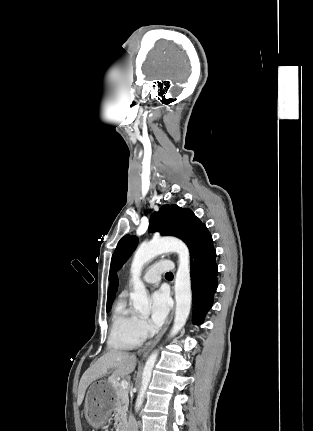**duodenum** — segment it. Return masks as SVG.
Here are the masks:
<instances>
[{"label": "duodenum", "mask_w": 313, "mask_h": 431, "mask_svg": "<svg viewBox=\"0 0 313 431\" xmlns=\"http://www.w3.org/2000/svg\"><path fill=\"white\" fill-rule=\"evenodd\" d=\"M119 431H130L128 425L121 424L119 427Z\"/></svg>", "instance_id": "1"}]
</instances>
